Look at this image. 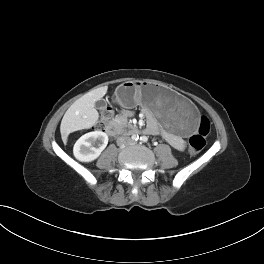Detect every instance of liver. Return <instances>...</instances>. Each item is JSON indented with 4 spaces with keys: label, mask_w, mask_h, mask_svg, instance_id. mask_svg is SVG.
<instances>
[{
    "label": "liver",
    "mask_w": 264,
    "mask_h": 264,
    "mask_svg": "<svg viewBox=\"0 0 264 264\" xmlns=\"http://www.w3.org/2000/svg\"><path fill=\"white\" fill-rule=\"evenodd\" d=\"M107 92V87L94 89L76 100L66 111L61 121L60 132L64 144L68 135L74 131L94 126L99 118L95 103Z\"/></svg>",
    "instance_id": "1"
}]
</instances>
